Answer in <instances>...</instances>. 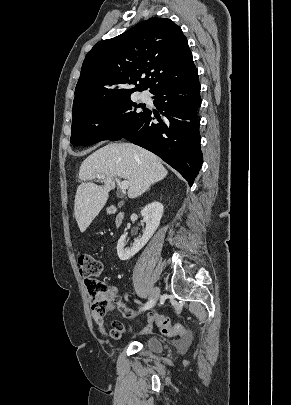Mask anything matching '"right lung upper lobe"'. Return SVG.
I'll list each match as a JSON object with an SVG mask.
<instances>
[{"label": "right lung upper lobe", "mask_w": 291, "mask_h": 405, "mask_svg": "<svg viewBox=\"0 0 291 405\" xmlns=\"http://www.w3.org/2000/svg\"><path fill=\"white\" fill-rule=\"evenodd\" d=\"M196 73L181 28L170 19L150 18L117 37L98 42L88 52L75 88L72 113L136 91L150 89L153 93L166 83ZM128 84L136 86L129 89Z\"/></svg>", "instance_id": "obj_1"}]
</instances>
